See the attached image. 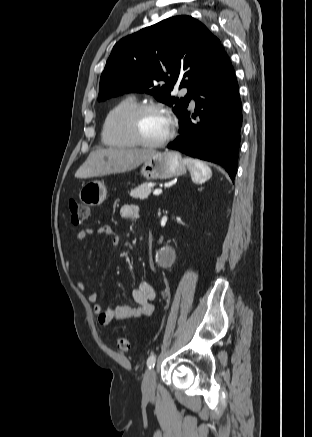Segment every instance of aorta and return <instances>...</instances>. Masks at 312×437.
Here are the masks:
<instances>
[{"mask_svg": "<svg viewBox=\"0 0 312 437\" xmlns=\"http://www.w3.org/2000/svg\"><path fill=\"white\" fill-rule=\"evenodd\" d=\"M169 255V253L168 252H166V251H161L160 253H159V257H158V259L159 260H163L165 257H167Z\"/></svg>", "mask_w": 312, "mask_h": 437, "instance_id": "762f6f07", "label": "aorta"}]
</instances>
